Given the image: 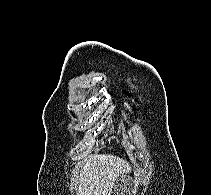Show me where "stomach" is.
<instances>
[{
    "label": "stomach",
    "mask_w": 211,
    "mask_h": 195,
    "mask_svg": "<svg viewBox=\"0 0 211 195\" xmlns=\"http://www.w3.org/2000/svg\"><path fill=\"white\" fill-rule=\"evenodd\" d=\"M120 179H122L120 185H124V186L129 185V183H127V181L125 182V178L122 177V178H120ZM117 182H118V181H117ZM117 182H116V186H117Z\"/></svg>",
    "instance_id": "stomach-1"
}]
</instances>
